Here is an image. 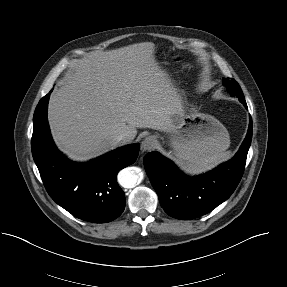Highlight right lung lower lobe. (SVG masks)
<instances>
[{"label":"right lung lower lobe","instance_id":"obj_1","mask_svg":"<svg viewBox=\"0 0 287 287\" xmlns=\"http://www.w3.org/2000/svg\"><path fill=\"white\" fill-rule=\"evenodd\" d=\"M50 93L38 103L33 117L31 148L34 161L50 197L73 216L106 223L119 217L125 195L117 183V173L133 164L139 145H128L88 163L68 160L53 143L47 122Z\"/></svg>","mask_w":287,"mask_h":287}]
</instances>
